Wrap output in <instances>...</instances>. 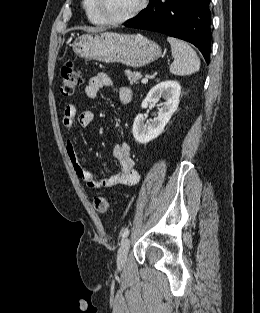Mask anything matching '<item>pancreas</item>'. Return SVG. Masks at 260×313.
Listing matches in <instances>:
<instances>
[{"label":"pancreas","instance_id":"1","mask_svg":"<svg viewBox=\"0 0 260 313\" xmlns=\"http://www.w3.org/2000/svg\"><path fill=\"white\" fill-rule=\"evenodd\" d=\"M124 74L127 76L131 85H133L134 83L138 84L139 79L142 77L140 72L131 71L129 69L124 70Z\"/></svg>","mask_w":260,"mask_h":313}]
</instances>
